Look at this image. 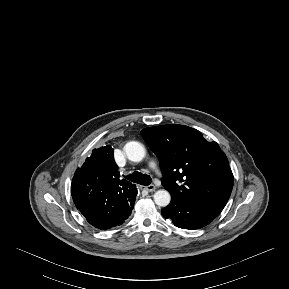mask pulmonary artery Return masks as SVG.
<instances>
[{"label": "pulmonary artery", "mask_w": 289, "mask_h": 289, "mask_svg": "<svg viewBox=\"0 0 289 289\" xmlns=\"http://www.w3.org/2000/svg\"><path fill=\"white\" fill-rule=\"evenodd\" d=\"M152 166L154 167V166H155V164H154V163H152Z\"/></svg>", "instance_id": "obj_1"}]
</instances>
